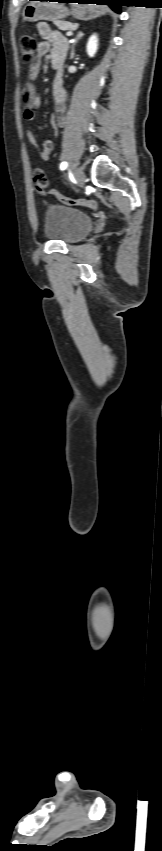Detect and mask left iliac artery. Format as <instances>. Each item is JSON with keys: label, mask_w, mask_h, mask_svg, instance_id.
Wrapping results in <instances>:
<instances>
[{"label": "left iliac artery", "mask_w": 162, "mask_h": 851, "mask_svg": "<svg viewBox=\"0 0 162 851\" xmlns=\"http://www.w3.org/2000/svg\"><path fill=\"white\" fill-rule=\"evenodd\" d=\"M66 167H67V162H62L61 165H60V169L64 170V169H66Z\"/></svg>", "instance_id": "44dca946"}]
</instances>
